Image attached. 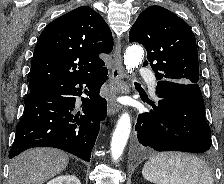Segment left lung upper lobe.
<instances>
[{
	"mask_svg": "<svg viewBox=\"0 0 224 184\" xmlns=\"http://www.w3.org/2000/svg\"><path fill=\"white\" fill-rule=\"evenodd\" d=\"M130 42L145 46L156 79L197 84L199 64L195 36L189 25L161 6L146 8L129 33Z\"/></svg>",
	"mask_w": 224,
	"mask_h": 184,
	"instance_id": "left-lung-upper-lobe-1",
	"label": "left lung upper lobe"
}]
</instances>
